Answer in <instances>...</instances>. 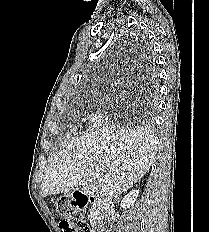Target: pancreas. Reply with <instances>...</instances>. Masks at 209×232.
Returning a JSON list of instances; mask_svg holds the SVG:
<instances>
[{"label":"pancreas","instance_id":"pancreas-1","mask_svg":"<svg viewBox=\"0 0 209 232\" xmlns=\"http://www.w3.org/2000/svg\"><path fill=\"white\" fill-rule=\"evenodd\" d=\"M93 217H94L93 215L90 216L91 219H92Z\"/></svg>","mask_w":209,"mask_h":232}]
</instances>
